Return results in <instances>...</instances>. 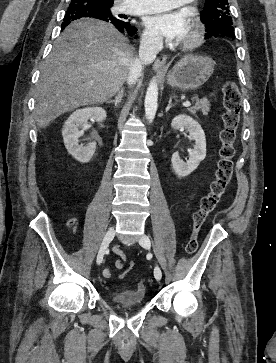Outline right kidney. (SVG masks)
Listing matches in <instances>:
<instances>
[{
	"label": "right kidney",
	"instance_id": "right-kidney-1",
	"mask_svg": "<svg viewBox=\"0 0 276 363\" xmlns=\"http://www.w3.org/2000/svg\"><path fill=\"white\" fill-rule=\"evenodd\" d=\"M106 111L102 107H87L76 110L64 123L62 136L64 145L70 155L80 163H88L96 150V142H90L86 146L79 144V138L83 132L79 128L87 124L88 119L103 122L106 119Z\"/></svg>",
	"mask_w": 276,
	"mask_h": 363
}]
</instances>
